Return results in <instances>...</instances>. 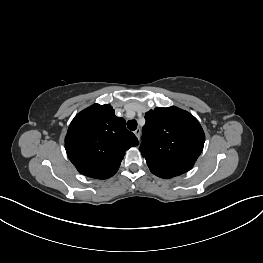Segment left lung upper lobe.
Masks as SVG:
<instances>
[{"instance_id":"5c2ea615","label":"left lung upper lobe","mask_w":263,"mask_h":263,"mask_svg":"<svg viewBox=\"0 0 263 263\" xmlns=\"http://www.w3.org/2000/svg\"><path fill=\"white\" fill-rule=\"evenodd\" d=\"M145 119L139 150L150 171L165 179L189 171L201 154L205 141L198 120L174 106L150 110Z\"/></svg>"}]
</instances>
